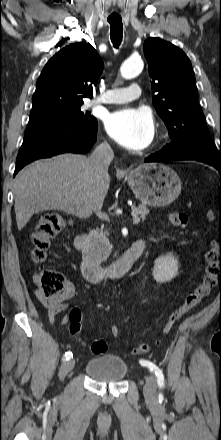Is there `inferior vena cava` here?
Returning a JSON list of instances; mask_svg holds the SVG:
<instances>
[{"instance_id": "602c4592", "label": "inferior vena cava", "mask_w": 221, "mask_h": 440, "mask_svg": "<svg viewBox=\"0 0 221 440\" xmlns=\"http://www.w3.org/2000/svg\"><path fill=\"white\" fill-rule=\"evenodd\" d=\"M113 157L114 152L111 146L106 142L98 145L89 157L90 166L98 183L105 177H108V167Z\"/></svg>"}]
</instances>
